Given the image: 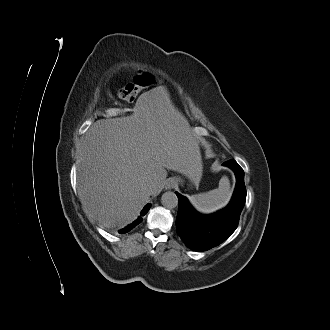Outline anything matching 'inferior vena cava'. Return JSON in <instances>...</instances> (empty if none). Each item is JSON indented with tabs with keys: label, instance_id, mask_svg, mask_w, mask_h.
I'll return each mask as SVG.
<instances>
[{
	"label": "inferior vena cava",
	"instance_id": "1",
	"mask_svg": "<svg viewBox=\"0 0 330 330\" xmlns=\"http://www.w3.org/2000/svg\"><path fill=\"white\" fill-rule=\"evenodd\" d=\"M155 187H156V183L153 180L148 181L147 189L150 193H153Z\"/></svg>",
	"mask_w": 330,
	"mask_h": 330
}]
</instances>
